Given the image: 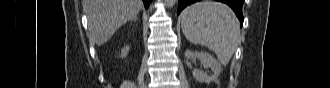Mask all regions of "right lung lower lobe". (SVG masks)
<instances>
[{
  "instance_id": "right-lung-lower-lobe-1",
  "label": "right lung lower lobe",
  "mask_w": 330,
  "mask_h": 88,
  "mask_svg": "<svg viewBox=\"0 0 330 88\" xmlns=\"http://www.w3.org/2000/svg\"><path fill=\"white\" fill-rule=\"evenodd\" d=\"M151 1H152V0H143V2H144V5H145V7H146V8H148V7H149V5H150Z\"/></svg>"
}]
</instances>
